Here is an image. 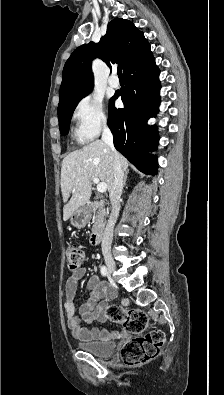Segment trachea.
<instances>
[{
    "instance_id": "trachea-1",
    "label": "trachea",
    "mask_w": 224,
    "mask_h": 395,
    "mask_svg": "<svg viewBox=\"0 0 224 395\" xmlns=\"http://www.w3.org/2000/svg\"><path fill=\"white\" fill-rule=\"evenodd\" d=\"M117 73H118V77H119V78H123L122 68H121V67H118Z\"/></svg>"
}]
</instances>
